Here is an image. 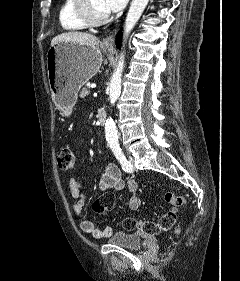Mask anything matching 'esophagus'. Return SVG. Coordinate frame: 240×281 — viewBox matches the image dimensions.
Returning <instances> with one entry per match:
<instances>
[{"mask_svg":"<svg viewBox=\"0 0 240 281\" xmlns=\"http://www.w3.org/2000/svg\"><path fill=\"white\" fill-rule=\"evenodd\" d=\"M118 29H119V26H117V27L113 30V32H112L108 37H106V38L104 39L103 44H104L105 46H112V45L114 44L115 37H116V34H117V32H118Z\"/></svg>","mask_w":240,"mask_h":281,"instance_id":"34e87169","label":"esophagus"}]
</instances>
